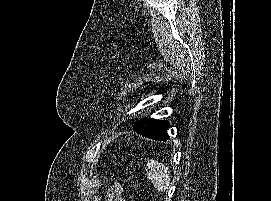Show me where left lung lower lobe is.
Wrapping results in <instances>:
<instances>
[{"label": "left lung lower lobe", "instance_id": "0a47b994", "mask_svg": "<svg viewBox=\"0 0 271 201\" xmlns=\"http://www.w3.org/2000/svg\"><path fill=\"white\" fill-rule=\"evenodd\" d=\"M133 130L135 131V129L133 128ZM169 137V136H168ZM168 137L167 138H165L164 140H167L168 139ZM163 140V139H162Z\"/></svg>", "mask_w": 271, "mask_h": 201}]
</instances>
